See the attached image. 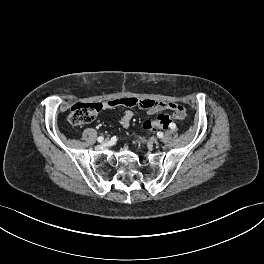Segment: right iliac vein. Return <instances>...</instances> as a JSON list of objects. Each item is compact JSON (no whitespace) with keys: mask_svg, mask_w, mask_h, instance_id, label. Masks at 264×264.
I'll return each mask as SVG.
<instances>
[{"mask_svg":"<svg viewBox=\"0 0 264 264\" xmlns=\"http://www.w3.org/2000/svg\"><path fill=\"white\" fill-rule=\"evenodd\" d=\"M110 140H111V139H110L109 137H108V138L105 137L101 143H105V144H106V143L109 142Z\"/></svg>","mask_w":264,"mask_h":264,"instance_id":"1","label":"right iliac vein"}]
</instances>
